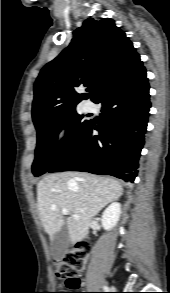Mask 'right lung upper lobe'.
<instances>
[{
  "mask_svg": "<svg viewBox=\"0 0 170 293\" xmlns=\"http://www.w3.org/2000/svg\"><path fill=\"white\" fill-rule=\"evenodd\" d=\"M143 67L125 33L109 18H88L62 53L41 70L34 84L32 117L36 129L90 95L95 102L112 84ZM83 84L90 94H78Z\"/></svg>",
  "mask_w": 170,
  "mask_h": 293,
  "instance_id": "right-lung-upper-lobe-1",
  "label": "right lung upper lobe"
}]
</instances>
